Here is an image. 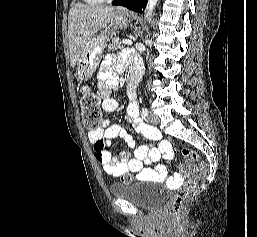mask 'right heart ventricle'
Instances as JSON below:
<instances>
[{
	"label": "right heart ventricle",
	"mask_w": 257,
	"mask_h": 237,
	"mask_svg": "<svg viewBox=\"0 0 257 237\" xmlns=\"http://www.w3.org/2000/svg\"><path fill=\"white\" fill-rule=\"evenodd\" d=\"M88 5H98L101 4L103 0H83Z\"/></svg>",
	"instance_id": "obj_1"
}]
</instances>
